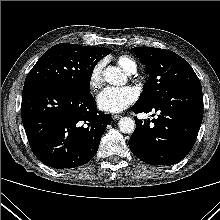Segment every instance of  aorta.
Returning <instances> with one entry per match:
<instances>
[{
    "instance_id": "1",
    "label": "aorta",
    "mask_w": 220,
    "mask_h": 220,
    "mask_svg": "<svg viewBox=\"0 0 220 220\" xmlns=\"http://www.w3.org/2000/svg\"><path fill=\"white\" fill-rule=\"evenodd\" d=\"M105 81L111 85H124L126 76L118 67L108 66L103 71ZM119 129L122 133L130 134L135 130V121L130 117H123L119 120Z\"/></svg>"
}]
</instances>
